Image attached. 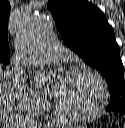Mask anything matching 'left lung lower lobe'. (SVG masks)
I'll use <instances>...</instances> for the list:
<instances>
[{
    "label": "left lung lower lobe",
    "mask_w": 125,
    "mask_h": 128,
    "mask_svg": "<svg viewBox=\"0 0 125 128\" xmlns=\"http://www.w3.org/2000/svg\"><path fill=\"white\" fill-rule=\"evenodd\" d=\"M107 111V110H106ZM110 111H115V112H119L121 114H125V109H116V110H109Z\"/></svg>",
    "instance_id": "0a47b994"
}]
</instances>
